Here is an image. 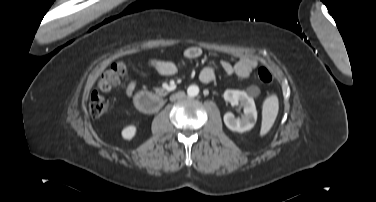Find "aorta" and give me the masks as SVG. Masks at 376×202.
<instances>
[{"mask_svg": "<svg viewBox=\"0 0 376 202\" xmlns=\"http://www.w3.org/2000/svg\"><path fill=\"white\" fill-rule=\"evenodd\" d=\"M199 93V87L197 85H190L187 89V94L191 97L197 96Z\"/></svg>", "mask_w": 376, "mask_h": 202, "instance_id": "1", "label": "aorta"}]
</instances>
